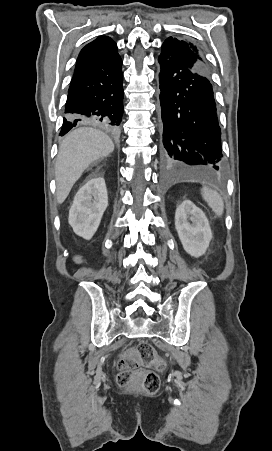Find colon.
<instances>
[{
  "label": "colon",
  "mask_w": 272,
  "mask_h": 451,
  "mask_svg": "<svg viewBox=\"0 0 272 451\" xmlns=\"http://www.w3.org/2000/svg\"><path fill=\"white\" fill-rule=\"evenodd\" d=\"M78 257L77 253L73 254ZM150 342H141L139 346L128 350L116 363L118 370V384L122 387L140 386L148 393L157 392L160 386L159 376L153 369L146 366L155 364L157 369H162L156 360L155 350ZM160 363V362H159Z\"/></svg>",
  "instance_id": "obj_1"
}]
</instances>
